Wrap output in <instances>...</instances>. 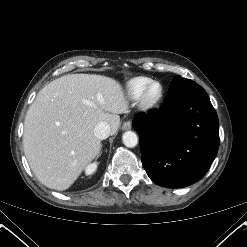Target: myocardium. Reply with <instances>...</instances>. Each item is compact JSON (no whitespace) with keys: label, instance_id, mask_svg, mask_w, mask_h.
Returning a JSON list of instances; mask_svg holds the SVG:
<instances>
[{"label":"myocardium","instance_id":"f54148a6","mask_svg":"<svg viewBox=\"0 0 247 247\" xmlns=\"http://www.w3.org/2000/svg\"><path fill=\"white\" fill-rule=\"evenodd\" d=\"M158 87V91L154 96H151L150 92L153 87ZM163 96V87L158 81L150 82L141 92L138 97V105L142 110H149L154 108L161 100Z\"/></svg>","mask_w":247,"mask_h":247}]
</instances>
